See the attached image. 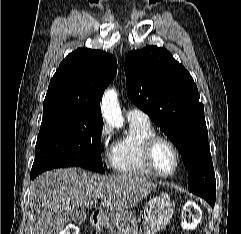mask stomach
I'll use <instances>...</instances> for the list:
<instances>
[{
	"mask_svg": "<svg viewBox=\"0 0 241 234\" xmlns=\"http://www.w3.org/2000/svg\"><path fill=\"white\" fill-rule=\"evenodd\" d=\"M174 212L170 199L154 197L145 206L142 218L143 229L138 231L134 217L127 211H121L115 217H108L117 226L121 234H157L171 220Z\"/></svg>",
	"mask_w": 241,
	"mask_h": 234,
	"instance_id": "stomach-1",
	"label": "stomach"
}]
</instances>
